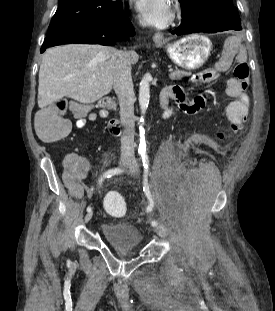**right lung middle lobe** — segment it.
<instances>
[{"label":"right lung middle lobe","instance_id":"right-lung-middle-lobe-1","mask_svg":"<svg viewBox=\"0 0 275 311\" xmlns=\"http://www.w3.org/2000/svg\"><path fill=\"white\" fill-rule=\"evenodd\" d=\"M122 9L121 1L113 0H59L58 9L48 32L56 27L110 15Z\"/></svg>","mask_w":275,"mask_h":311}]
</instances>
